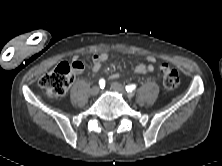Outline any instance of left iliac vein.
<instances>
[{
  "label": "left iliac vein",
  "instance_id": "1",
  "mask_svg": "<svg viewBox=\"0 0 222 166\" xmlns=\"http://www.w3.org/2000/svg\"><path fill=\"white\" fill-rule=\"evenodd\" d=\"M111 88L114 91H116V92H118V93H120L122 95H128L130 97L132 96V94H127L125 88L120 83H118V82H113L111 84Z\"/></svg>",
  "mask_w": 222,
  "mask_h": 166
}]
</instances>
